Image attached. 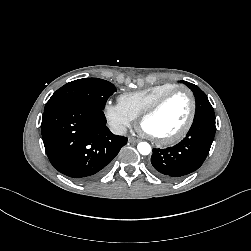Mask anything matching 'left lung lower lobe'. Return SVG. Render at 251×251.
Returning <instances> with one entry per match:
<instances>
[{
	"label": "left lung lower lobe",
	"mask_w": 251,
	"mask_h": 251,
	"mask_svg": "<svg viewBox=\"0 0 251 251\" xmlns=\"http://www.w3.org/2000/svg\"><path fill=\"white\" fill-rule=\"evenodd\" d=\"M215 135V117H200L186 137L173 147L153 149L150 169L157 176L175 180L197 170L206 159Z\"/></svg>",
	"instance_id": "left-lung-lower-lobe-1"
}]
</instances>
